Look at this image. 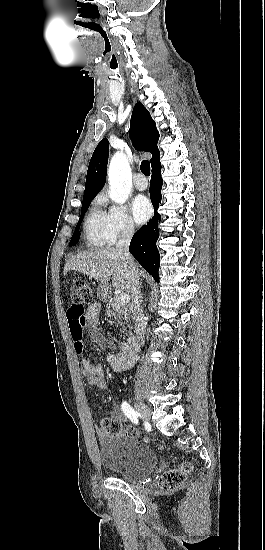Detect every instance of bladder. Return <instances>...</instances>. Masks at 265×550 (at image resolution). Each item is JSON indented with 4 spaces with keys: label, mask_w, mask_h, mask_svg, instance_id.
<instances>
[{
    "label": "bladder",
    "mask_w": 265,
    "mask_h": 550,
    "mask_svg": "<svg viewBox=\"0 0 265 550\" xmlns=\"http://www.w3.org/2000/svg\"><path fill=\"white\" fill-rule=\"evenodd\" d=\"M103 466L126 481H135L154 472L157 455L135 438L115 436L100 447Z\"/></svg>",
    "instance_id": "31cf9c89"
}]
</instances>
